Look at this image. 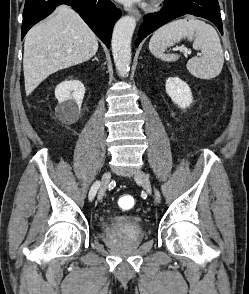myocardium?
Segmentation results:
<instances>
[{"mask_svg": "<svg viewBox=\"0 0 249 294\" xmlns=\"http://www.w3.org/2000/svg\"><path fill=\"white\" fill-rule=\"evenodd\" d=\"M160 1H162V0H152V5H156V4H158Z\"/></svg>", "mask_w": 249, "mask_h": 294, "instance_id": "1", "label": "myocardium"}]
</instances>
